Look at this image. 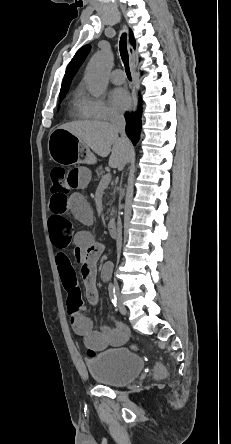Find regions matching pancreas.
Returning <instances> with one entry per match:
<instances>
[{"label":"pancreas","instance_id":"pancreas-1","mask_svg":"<svg viewBox=\"0 0 231 444\" xmlns=\"http://www.w3.org/2000/svg\"><path fill=\"white\" fill-rule=\"evenodd\" d=\"M104 173H105V171L102 167H98L96 169V176L98 179H101L104 176Z\"/></svg>","mask_w":231,"mask_h":444}]
</instances>
